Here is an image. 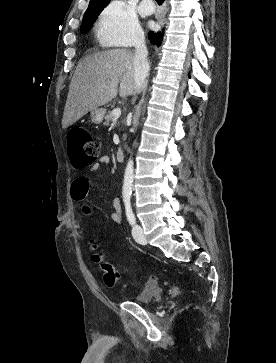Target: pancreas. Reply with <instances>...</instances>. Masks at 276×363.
Returning <instances> with one entry per match:
<instances>
[{
	"instance_id": "1",
	"label": "pancreas",
	"mask_w": 276,
	"mask_h": 363,
	"mask_svg": "<svg viewBox=\"0 0 276 363\" xmlns=\"http://www.w3.org/2000/svg\"><path fill=\"white\" fill-rule=\"evenodd\" d=\"M113 119V115L112 112L108 113L107 116L105 117V122L104 125L105 126H109L110 121Z\"/></svg>"
}]
</instances>
